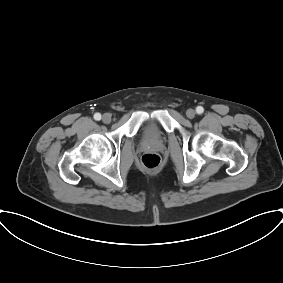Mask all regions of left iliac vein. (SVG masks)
<instances>
[{
    "label": "left iliac vein",
    "instance_id": "4c4485c4",
    "mask_svg": "<svg viewBox=\"0 0 283 283\" xmlns=\"http://www.w3.org/2000/svg\"><path fill=\"white\" fill-rule=\"evenodd\" d=\"M186 115H187V117H188L189 119H193V118L195 117V115H196V112H195V110H193V109H188V110L186 111Z\"/></svg>",
    "mask_w": 283,
    "mask_h": 283
}]
</instances>
